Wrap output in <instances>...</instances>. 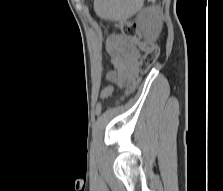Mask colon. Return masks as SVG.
Listing matches in <instances>:
<instances>
[{
	"instance_id": "colon-1",
	"label": "colon",
	"mask_w": 223,
	"mask_h": 191,
	"mask_svg": "<svg viewBox=\"0 0 223 191\" xmlns=\"http://www.w3.org/2000/svg\"><path fill=\"white\" fill-rule=\"evenodd\" d=\"M120 30L143 54L137 66L138 75L133 80L134 84H138L140 77L156 62L159 56V48L152 42L142 39L137 25L132 22H121Z\"/></svg>"
}]
</instances>
